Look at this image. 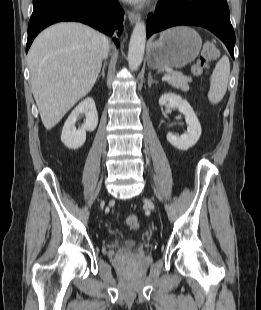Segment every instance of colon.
Wrapping results in <instances>:
<instances>
[{
  "label": "colon",
  "instance_id": "obj_1",
  "mask_svg": "<svg viewBox=\"0 0 261 310\" xmlns=\"http://www.w3.org/2000/svg\"><path fill=\"white\" fill-rule=\"evenodd\" d=\"M218 57L216 46L207 42L202 50L200 60L193 66V73L201 75L208 67V64ZM126 224L130 229H138L140 226L139 218L136 215H130L126 219Z\"/></svg>",
  "mask_w": 261,
  "mask_h": 310
}]
</instances>
